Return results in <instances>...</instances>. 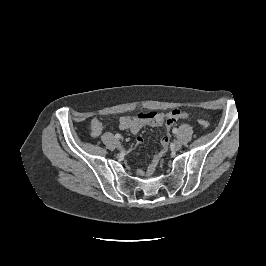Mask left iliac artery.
<instances>
[{"mask_svg": "<svg viewBox=\"0 0 266 266\" xmlns=\"http://www.w3.org/2000/svg\"><path fill=\"white\" fill-rule=\"evenodd\" d=\"M172 132H173L174 134H177V133H178V129H177V128H174V129L172 130Z\"/></svg>", "mask_w": 266, "mask_h": 266, "instance_id": "1", "label": "left iliac artery"}]
</instances>
